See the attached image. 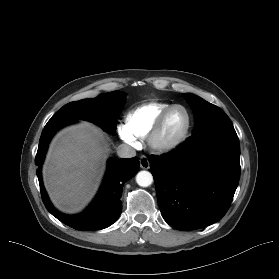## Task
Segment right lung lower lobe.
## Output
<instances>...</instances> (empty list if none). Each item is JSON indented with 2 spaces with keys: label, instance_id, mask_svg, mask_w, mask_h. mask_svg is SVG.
Segmentation results:
<instances>
[{
  "label": "right lung lower lobe",
  "instance_id": "right-lung-lower-lobe-1",
  "mask_svg": "<svg viewBox=\"0 0 279 279\" xmlns=\"http://www.w3.org/2000/svg\"><path fill=\"white\" fill-rule=\"evenodd\" d=\"M66 124L45 127L40 137L35 164L38 166L36 173L39 180L42 200L47 210L53 216L74 229L90 231L107 228L120 216L122 209L120 197L122 196L123 184L137 173L139 158L111 159L103 184L91 205L79 215H64L58 212L48 199L42 182L41 165L50 139L58 129Z\"/></svg>",
  "mask_w": 279,
  "mask_h": 279
}]
</instances>
